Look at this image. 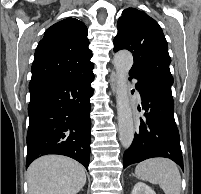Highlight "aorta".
<instances>
[{"instance_id": "1", "label": "aorta", "mask_w": 201, "mask_h": 194, "mask_svg": "<svg viewBox=\"0 0 201 194\" xmlns=\"http://www.w3.org/2000/svg\"><path fill=\"white\" fill-rule=\"evenodd\" d=\"M133 56L129 51H119L114 55L117 87L116 100L118 112L119 140L124 148H129L134 138V122L127 86Z\"/></svg>"}]
</instances>
